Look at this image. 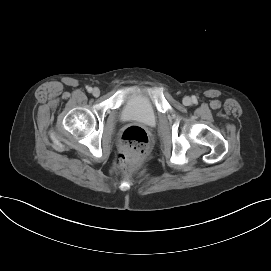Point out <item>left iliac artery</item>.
<instances>
[{"instance_id": "obj_1", "label": "left iliac artery", "mask_w": 271, "mask_h": 271, "mask_svg": "<svg viewBox=\"0 0 271 271\" xmlns=\"http://www.w3.org/2000/svg\"><path fill=\"white\" fill-rule=\"evenodd\" d=\"M193 101H194V102L196 101V98H195V97H193Z\"/></svg>"}]
</instances>
